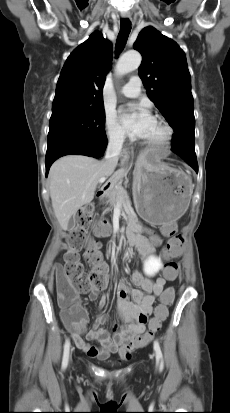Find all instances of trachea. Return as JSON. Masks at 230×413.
I'll list each match as a JSON object with an SVG mask.
<instances>
[{"mask_svg": "<svg viewBox=\"0 0 230 413\" xmlns=\"http://www.w3.org/2000/svg\"><path fill=\"white\" fill-rule=\"evenodd\" d=\"M131 31V22L127 18H122L120 20V33L117 38L116 42V52L120 53L126 44V41L128 39V36Z\"/></svg>", "mask_w": 230, "mask_h": 413, "instance_id": "1", "label": "trachea"}]
</instances>
